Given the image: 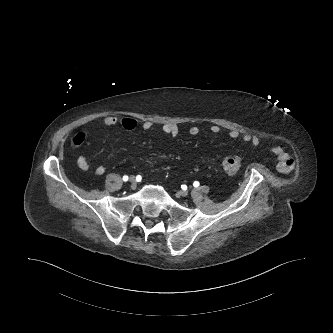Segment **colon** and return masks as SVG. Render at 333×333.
<instances>
[{
    "mask_svg": "<svg viewBox=\"0 0 333 333\" xmlns=\"http://www.w3.org/2000/svg\"><path fill=\"white\" fill-rule=\"evenodd\" d=\"M86 135L84 133L76 134L72 139L75 147H80L85 143ZM221 167L228 175L236 174L241 168V160L237 156H225L221 160Z\"/></svg>",
    "mask_w": 333,
    "mask_h": 333,
    "instance_id": "obj_1",
    "label": "colon"
}]
</instances>
